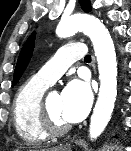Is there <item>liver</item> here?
<instances>
[{
  "label": "liver",
  "mask_w": 131,
  "mask_h": 151,
  "mask_svg": "<svg viewBox=\"0 0 131 151\" xmlns=\"http://www.w3.org/2000/svg\"><path fill=\"white\" fill-rule=\"evenodd\" d=\"M50 151H57L58 149L57 148H52V149H49Z\"/></svg>",
  "instance_id": "1"
}]
</instances>
